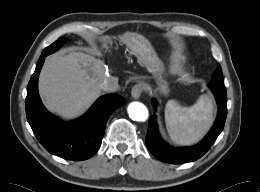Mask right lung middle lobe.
Listing matches in <instances>:
<instances>
[{"label":"right lung middle lobe","instance_id":"right-lung-middle-lobe-1","mask_svg":"<svg viewBox=\"0 0 260 192\" xmlns=\"http://www.w3.org/2000/svg\"><path fill=\"white\" fill-rule=\"evenodd\" d=\"M63 42H64V38H59L56 42H54L53 44H51L50 46L45 48V50L42 52L41 55L47 56V55L57 51Z\"/></svg>","mask_w":260,"mask_h":192}]
</instances>
